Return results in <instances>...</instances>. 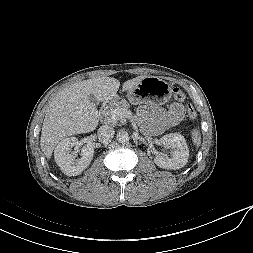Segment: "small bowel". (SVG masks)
<instances>
[{
    "mask_svg": "<svg viewBox=\"0 0 253 253\" xmlns=\"http://www.w3.org/2000/svg\"><path fill=\"white\" fill-rule=\"evenodd\" d=\"M184 116V107L179 103H172L168 109L143 106L138 111L140 120L148 123L152 134H160L166 128L178 124Z\"/></svg>",
    "mask_w": 253,
    "mask_h": 253,
    "instance_id": "small-bowel-1",
    "label": "small bowel"
}]
</instances>
